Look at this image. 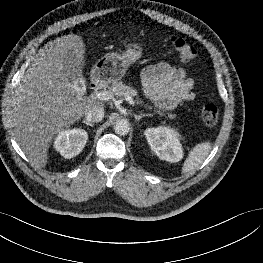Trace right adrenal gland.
Wrapping results in <instances>:
<instances>
[{"mask_svg": "<svg viewBox=\"0 0 263 263\" xmlns=\"http://www.w3.org/2000/svg\"><path fill=\"white\" fill-rule=\"evenodd\" d=\"M83 123H85L87 126H91V127L94 126L93 123H90V122L86 121L85 119H83Z\"/></svg>", "mask_w": 263, "mask_h": 263, "instance_id": "1", "label": "right adrenal gland"}]
</instances>
